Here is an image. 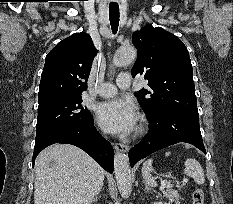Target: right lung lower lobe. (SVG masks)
I'll return each mask as SVG.
<instances>
[{"label":"right lung lower lobe","mask_w":233,"mask_h":204,"mask_svg":"<svg viewBox=\"0 0 233 204\" xmlns=\"http://www.w3.org/2000/svg\"><path fill=\"white\" fill-rule=\"evenodd\" d=\"M55 143L75 145L89 154L102 168L109 173L114 171V151L93 126V119L80 126L63 129L35 140L32 165L34 166L37 155L47 146Z\"/></svg>","instance_id":"right-lung-lower-lobe-1"}]
</instances>
